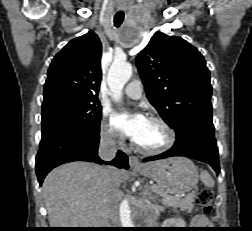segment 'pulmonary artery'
<instances>
[{"label":"pulmonary artery","mask_w":252,"mask_h":231,"mask_svg":"<svg viewBox=\"0 0 252 231\" xmlns=\"http://www.w3.org/2000/svg\"><path fill=\"white\" fill-rule=\"evenodd\" d=\"M142 84L139 80H134L129 82L125 88H124V93L133 99H139L142 96Z\"/></svg>","instance_id":"pulmonary-artery-1"}]
</instances>
